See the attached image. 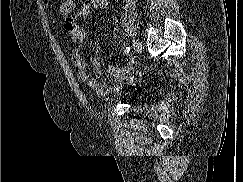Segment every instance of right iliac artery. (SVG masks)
<instances>
[{
  "label": "right iliac artery",
  "instance_id": "1",
  "mask_svg": "<svg viewBox=\"0 0 243 182\" xmlns=\"http://www.w3.org/2000/svg\"><path fill=\"white\" fill-rule=\"evenodd\" d=\"M124 52H125V54H126V55H128V54H129V52H130V47H129V46H127V47L125 48V51H124Z\"/></svg>",
  "mask_w": 243,
  "mask_h": 182
}]
</instances>
